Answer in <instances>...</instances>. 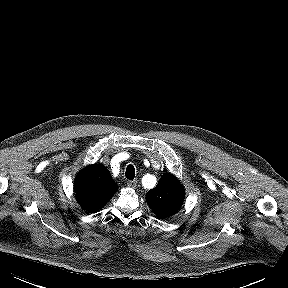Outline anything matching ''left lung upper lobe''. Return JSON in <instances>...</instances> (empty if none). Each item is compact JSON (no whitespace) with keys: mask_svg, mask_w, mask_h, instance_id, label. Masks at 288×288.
I'll return each mask as SVG.
<instances>
[{"mask_svg":"<svg viewBox=\"0 0 288 288\" xmlns=\"http://www.w3.org/2000/svg\"><path fill=\"white\" fill-rule=\"evenodd\" d=\"M148 205L159 218L174 215L184 200V189L176 177L165 173L157 186L146 194Z\"/></svg>","mask_w":288,"mask_h":288,"instance_id":"obj_1","label":"left lung upper lobe"}]
</instances>
